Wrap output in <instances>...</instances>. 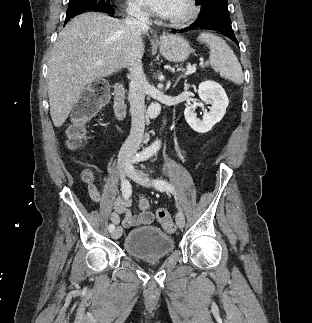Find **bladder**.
Masks as SVG:
<instances>
[{
    "instance_id": "31cf9c89",
    "label": "bladder",
    "mask_w": 312,
    "mask_h": 323,
    "mask_svg": "<svg viewBox=\"0 0 312 323\" xmlns=\"http://www.w3.org/2000/svg\"><path fill=\"white\" fill-rule=\"evenodd\" d=\"M125 251L139 259H158L172 252L174 239L159 228L146 226L132 229L124 239Z\"/></svg>"
}]
</instances>
